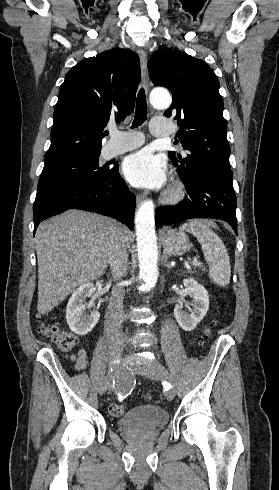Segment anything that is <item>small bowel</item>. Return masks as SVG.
<instances>
[{
    "instance_id": "obj_1",
    "label": "small bowel",
    "mask_w": 279,
    "mask_h": 490,
    "mask_svg": "<svg viewBox=\"0 0 279 490\" xmlns=\"http://www.w3.org/2000/svg\"><path fill=\"white\" fill-rule=\"evenodd\" d=\"M68 359L74 364L78 371H82L87 367V352L84 349L69 354Z\"/></svg>"
}]
</instances>
